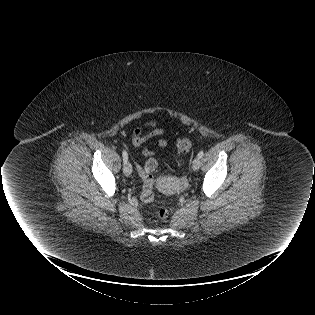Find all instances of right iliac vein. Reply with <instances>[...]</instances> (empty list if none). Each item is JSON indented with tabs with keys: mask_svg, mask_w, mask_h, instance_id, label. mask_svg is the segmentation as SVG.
<instances>
[{
	"mask_svg": "<svg viewBox=\"0 0 315 315\" xmlns=\"http://www.w3.org/2000/svg\"><path fill=\"white\" fill-rule=\"evenodd\" d=\"M123 171H124V174L126 176H129L131 175L132 173V166L129 162H125L124 165H123Z\"/></svg>",
	"mask_w": 315,
	"mask_h": 315,
	"instance_id": "obj_1",
	"label": "right iliac vein"
}]
</instances>
